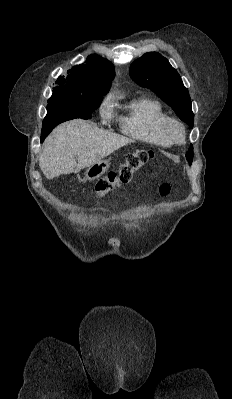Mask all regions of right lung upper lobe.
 Listing matches in <instances>:
<instances>
[{
    "label": "right lung upper lobe",
    "mask_w": 232,
    "mask_h": 399,
    "mask_svg": "<svg viewBox=\"0 0 232 399\" xmlns=\"http://www.w3.org/2000/svg\"><path fill=\"white\" fill-rule=\"evenodd\" d=\"M67 77L60 76L55 88L65 93L106 94L115 71L113 64L98 55H90L86 64L74 66Z\"/></svg>",
    "instance_id": "obj_1"
}]
</instances>
